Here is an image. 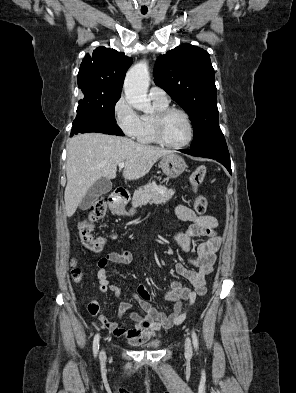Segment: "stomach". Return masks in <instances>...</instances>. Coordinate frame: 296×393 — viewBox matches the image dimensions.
<instances>
[{
	"label": "stomach",
	"mask_w": 296,
	"mask_h": 393,
	"mask_svg": "<svg viewBox=\"0 0 296 393\" xmlns=\"http://www.w3.org/2000/svg\"><path fill=\"white\" fill-rule=\"evenodd\" d=\"M163 173L167 176V178H177L181 175L186 169V163L182 157L177 154H168L161 158L159 163ZM121 214L132 215L134 214V210L130 212H126L125 210H120Z\"/></svg>",
	"instance_id": "obj_1"
}]
</instances>
